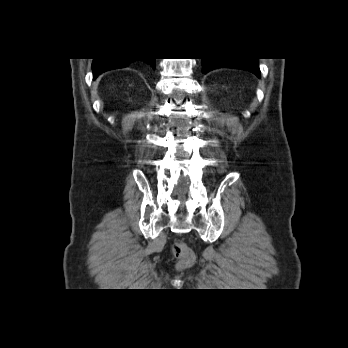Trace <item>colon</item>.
I'll return each instance as SVG.
<instances>
[{
	"mask_svg": "<svg viewBox=\"0 0 348 348\" xmlns=\"http://www.w3.org/2000/svg\"><path fill=\"white\" fill-rule=\"evenodd\" d=\"M172 254L178 260L180 269L187 268L194 263L193 252L183 242L178 241L172 245Z\"/></svg>",
	"mask_w": 348,
	"mask_h": 348,
	"instance_id": "5ec220e1",
	"label": "colon"
}]
</instances>
